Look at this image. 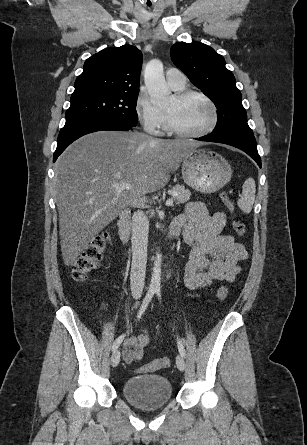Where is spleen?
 Masks as SVG:
<instances>
[{"mask_svg":"<svg viewBox=\"0 0 307 445\" xmlns=\"http://www.w3.org/2000/svg\"><path fill=\"white\" fill-rule=\"evenodd\" d=\"M242 188L243 192L241 198H239L238 200V206H240L243 212H251L255 200V190H256V184L254 178H247Z\"/></svg>","mask_w":307,"mask_h":445,"instance_id":"obj_1","label":"spleen"}]
</instances>
